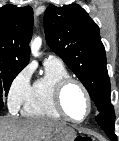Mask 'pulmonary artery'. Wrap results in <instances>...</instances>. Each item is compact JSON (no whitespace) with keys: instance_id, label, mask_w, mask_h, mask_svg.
I'll use <instances>...</instances> for the list:
<instances>
[{"instance_id":"1","label":"pulmonary artery","mask_w":119,"mask_h":141,"mask_svg":"<svg viewBox=\"0 0 119 141\" xmlns=\"http://www.w3.org/2000/svg\"><path fill=\"white\" fill-rule=\"evenodd\" d=\"M45 61H54V62H60L61 63V60L54 55H48L46 57Z\"/></svg>"}]
</instances>
